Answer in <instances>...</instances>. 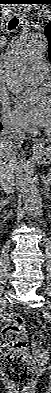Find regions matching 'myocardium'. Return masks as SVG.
Masks as SVG:
<instances>
[{
  "mask_svg": "<svg viewBox=\"0 0 51 393\" xmlns=\"http://www.w3.org/2000/svg\"><path fill=\"white\" fill-rule=\"evenodd\" d=\"M46 132L47 133H51V129H46Z\"/></svg>",
  "mask_w": 51,
  "mask_h": 393,
  "instance_id": "myocardium-1",
  "label": "myocardium"
}]
</instances>
